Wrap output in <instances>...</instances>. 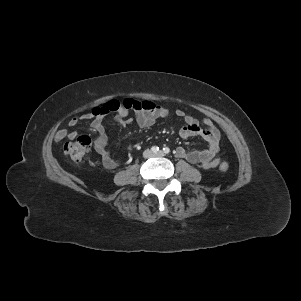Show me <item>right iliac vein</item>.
I'll return each mask as SVG.
<instances>
[{"label": "right iliac vein", "mask_w": 301, "mask_h": 301, "mask_svg": "<svg viewBox=\"0 0 301 301\" xmlns=\"http://www.w3.org/2000/svg\"><path fill=\"white\" fill-rule=\"evenodd\" d=\"M145 155H146V156H150V155H151V152H150V151H147V152L145 153Z\"/></svg>", "instance_id": "obj_1"}]
</instances>
